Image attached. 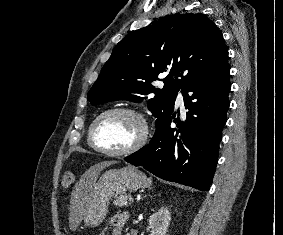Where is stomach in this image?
Instances as JSON below:
<instances>
[{
	"label": "stomach",
	"instance_id": "obj_1",
	"mask_svg": "<svg viewBox=\"0 0 283 235\" xmlns=\"http://www.w3.org/2000/svg\"><path fill=\"white\" fill-rule=\"evenodd\" d=\"M150 185L146 176L134 166L105 171L88 192L83 209L84 221L89 227L98 226L105 218L112 197L137 191Z\"/></svg>",
	"mask_w": 283,
	"mask_h": 235
}]
</instances>
